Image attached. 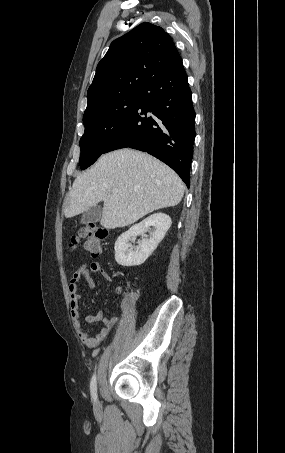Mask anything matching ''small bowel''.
<instances>
[{"label":"small bowel","instance_id":"1","mask_svg":"<svg viewBox=\"0 0 285 453\" xmlns=\"http://www.w3.org/2000/svg\"><path fill=\"white\" fill-rule=\"evenodd\" d=\"M94 273H100L101 277L106 281L111 280L110 275L106 271L102 270L98 263L92 262L90 264H82L77 267L68 285L73 324L81 342L88 348H96L106 338L113 326L118 322L117 317L106 318L102 312H97L87 316L85 322L89 324L101 322L103 323V327L96 334H91L84 328L80 318V295L78 294V282L81 279H85L88 289H94L95 282L91 276Z\"/></svg>","mask_w":285,"mask_h":453}]
</instances>
